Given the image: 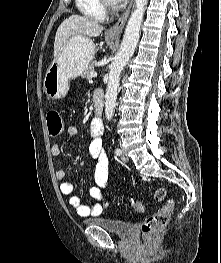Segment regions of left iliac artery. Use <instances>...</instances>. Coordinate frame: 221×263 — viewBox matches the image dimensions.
I'll list each match as a JSON object with an SVG mask.
<instances>
[{
    "label": "left iliac artery",
    "mask_w": 221,
    "mask_h": 263,
    "mask_svg": "<svg viewBox=\"0 0 221 263\" xmlns=\"http://www.w3.org/2000/svg\"><path fill=\"white\" fill-rule=\"evenodd\" d=\"M121 153H122L121 149L117 148V149L115 150V154H116V155H121Z\"/></svg>",
    "instance_id": "1"
}]
</instances>
